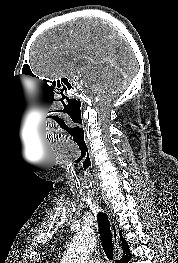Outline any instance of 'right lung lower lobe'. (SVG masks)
Listing matches in <instances>:
<instances>
[{
    "label": "right lung lower lobe",
    "instance_id": "98d812e1",
    "mask_svg": "<svg viewBox=\"0 0 178 263\" xmlns=\"http://www.w3.org/2000/svg\"><path fill=\"white\" fill-rule=\"evenodd\" d=\"M131 259V256H123L120 260H117L116 263H127L128 260Z\"/></svg>",
    "mask_w": 178,
    "mask_h": 263
}]
</instances>
